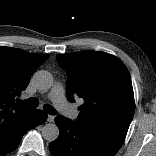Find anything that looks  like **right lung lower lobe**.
<instances>
[{"instance_id":"obj_1","label":"right lung lower lobe","mask_w":156,"mask_h":156,"mask_svg":"<svg viewBox=\"0 0 156 156\" xmlns=\"http://www.w3.org/2000/svg\"><path fill=\"white\" fill-rule=\"evenodd\" d=\"M47 114L42 110H34L8 117L0 123V156L16 149L23 135L30 129L44 123Z\"/></svg>"}]
</instances>
